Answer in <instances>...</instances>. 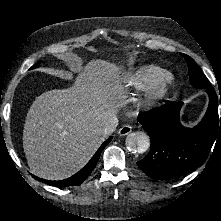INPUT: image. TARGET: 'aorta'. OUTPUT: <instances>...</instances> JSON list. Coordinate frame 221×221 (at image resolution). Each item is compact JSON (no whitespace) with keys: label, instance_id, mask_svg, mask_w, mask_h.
Masks as SVG:
<instances>
[{"label":"aorta","instance_id":"obj_1","mask_svg":"<svg viewBox=\"0 0 221 221\" xmlns=\"http://www.w3.org/2000/svg\"><path fill=\"white\" fill-rule=\"evenodd\" d=\"M126 146L129 151L141 154L148 150L150 138L145 132H132L126 137Z\"/></svg>","mask_w":221,"mask_h":221}]
</instances>
